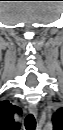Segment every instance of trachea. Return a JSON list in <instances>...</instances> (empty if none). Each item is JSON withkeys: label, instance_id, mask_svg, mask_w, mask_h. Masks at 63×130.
I'll list each match as a JSON object with an SVG mask.
<instances>
[{"label": "trachea", "instance_id": "1", "mask_svg": "<svg viewBox=\"0 0 63 130\" xmlns=\"http://www.w3.org/2000/svg\"><path fill=\"white\" fill-rule=\"evenodd\" d=\"M26 130H34L36 127V120L33 114H28L24 120Z\"/></svg>", "mask_w": 63, "mask_h": 130}]
</instances>
